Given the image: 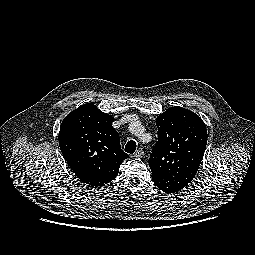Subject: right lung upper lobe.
<instances>
[{
  "label": "right lung upper lobe",
  "instance_id": "right-lung-upper-lobe-1",
  "mask_svg": "<svg viewBox=\"0 0 255 255\" xmlns=\"http://www.w3.org/2000/svg\"><path fill=\"white\" fill-rule=\"evenodd\" d=\"M113 117L87 103L69 113L59 132V146L71 170L83 183L104 186L114 180L129 155L120 146Z\"/></svg>",
  "mask_w": 255,
  "mask_h": 255
}]
</instances>
